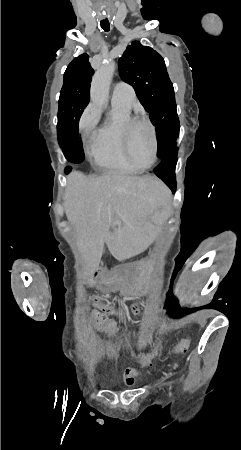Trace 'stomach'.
I'll use <instances>...</instances> for the list:
<instances>
[{
	"label": "stomach",
	"mask_w": 241,
	"mask_h": 450,
	"mask_svg": "<svg viewBox=\"0 0 241 450\" xmlns=\"http://www.w3.org/2000/svg\"><path fill=\"white\" fill-rule=\"evenodd\" d=\"M158 258V246H156L149 257L137 264L116 270L111 277L112 285L117 289L133 292L148 290L154 284Z\"/></svg>",
	"instance_id": "0dacf381"
}]
</instances>
